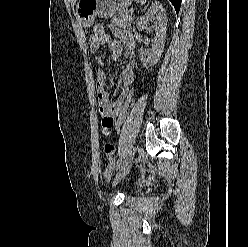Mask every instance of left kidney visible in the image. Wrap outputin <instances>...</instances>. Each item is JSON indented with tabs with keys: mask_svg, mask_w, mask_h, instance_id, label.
<instances>
[{
	"mask_svg": "<svg viewBox=\"0 0 248 247\" xmlns=\"http://www.w3.org/2000/svg\"><path fill=\"white\" fill-rule=\"evenodd\" d=\"M149 21H155L152 28L156 32V38L152 42L151 49L146 50L141 48L139 50V58L146 68L155 65L159 61L164 50L167 15L160 3H153L147 13L139 19L137 23L138 29L140 31L150 32L151 29L148 27Z\"/></svg>",
	"mask_w": 248,
	"mask_h": 247,
	"instance_id": "1",
	"label": "left kidney"
}]
</instances>
